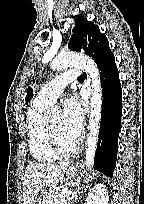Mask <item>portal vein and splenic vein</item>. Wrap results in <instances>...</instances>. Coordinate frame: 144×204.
<instances>
[{
	"mask_svg": "<svg viewBox=\"0 0 144 204\" xmlns=\"http://www.w3.org/2000/svg\"><path fill=\"white\" fill-rule=\"evenodd\" d=\"M71 194H72V195L74 194L73 191L68 190V189H64V190L61 191L60 197L69 196V195H71Z\"/></svg>",
	"mask_w": 144,
	"mask_h": 204,
	"instance_id": "18ae733b",
	"label": "portal vein and splenic vein"
}]
</instances>
